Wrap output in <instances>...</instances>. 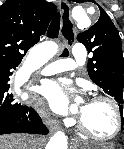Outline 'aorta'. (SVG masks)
<instances>
[{
  "label": "aorta",
  "instance_id": "obj_1",
  "mask_svg": "<svg viewBox=\"0 0 124 149\" xmlns=\"http://www.w3.org/2000/svg\"><path fill=\"white\" fill-rule=\"evenodd\" d=\"M73 19L78 26V28H87L91 21L84 10L78 9L73 12ZM52 47L56 45L54 43L50 44ZM28 75L27 70L23 69L19 71L16 75L18 82H22L26 79ZM46 149H67V138L65 134L61 131H58L51 137L48 144L46 145Z\"/></svg>",
  "mask_w": 124,
  "mask_h": 149
}]
</instances>
